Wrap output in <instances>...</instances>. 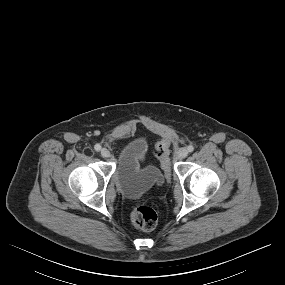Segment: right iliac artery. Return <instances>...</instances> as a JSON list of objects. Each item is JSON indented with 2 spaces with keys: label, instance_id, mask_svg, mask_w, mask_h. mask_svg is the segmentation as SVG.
I'll return each instance as SVG.
<instances>
[{
  "label": "right iliac artery",
  "instance_id": "right-iliac-artery-1",
  "mask_svg": "<svg viewBox=\"0 0 285 285\" xmlns=\"http://www.w3.org/2000/svg\"><path fill=\"white\" fill-rule=\"evenodd\" d=\"M94 149H95L96 151H100V150H101V145H100V144H96V145L94 146Z\"/></svg>",
  "mask_w": 285,
  "mask_h": 285
}]
</instances>
